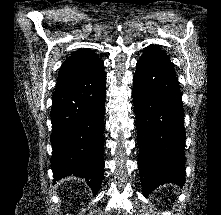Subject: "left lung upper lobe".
<instances>
[{"instance_id":"left-lung-upper-lobe-1","label":"left lung upper lobe","mask_w":221,"mask_h":215,"mask_svg":"<svg viewBox=\"0 0 221 215\" xmlns=\"http://www.w3.org/2000/svg\"><path fill=\"white\" fill-rule=\"evenodd\" d=\"M140 59L162 63L168 66H172L171 61L166 53L161 51L156 45L148 46Z\"/></svg>"}]
</instances>
